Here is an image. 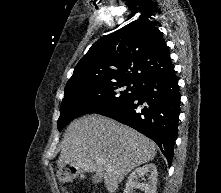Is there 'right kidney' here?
<instances>
[{"instance_id": "right-kidney-1", "label": "right kidney", "mask_w": 221, "mask_h": 193, "mask_svg": "<svg viewBox=\"0 0 221 193\" xmlns=\"http://www.w3.org/2000/svg\"><path fill=\"white\" fill-rule=\"evenodd\" d=\"M157 175V168L153 163L136 168L128 177L124 193H133L134 189H140L144 193H156ZM144 176L147 177L148 182H139V179Z\"/></svg>"}]
</instances>
